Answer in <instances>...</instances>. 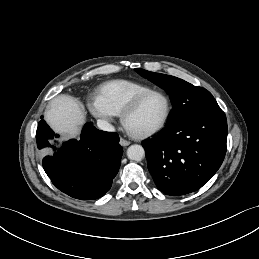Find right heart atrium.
<instances>
[{
	"mask_svg": "<svg viewBox=\"0 0 259 259\" xmlns=\"http://www.w3.org/2000/svg\"><path fill=\"white\" fill-rule=\"evenodd\" d=\"M88 108L95 118L104 123L109 124L113 121V114L107 109L99 97L90 98L88 101Z\"/></svg>",
	"mask_w": 259,
	"mask_h": 259,
	"instance_id": "obj_1",
	"label": "right heart atrium"
}]
</instances>
